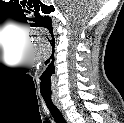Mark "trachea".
Masks as SVG:
<instances>
[{"mask_svg":"<svg viewBox=\"0 0 124 123\" xmlns=\"http://www.w3.org/2000/svg\"><path fill=\"white\" fill-rule=\"evenodd\" d=\"M44 102L49 109L54 121L56 123H66V120L64 119L62 113L60 110L55 106V104L52 101V98L43 96Z\"/></svg>","mask_w":124,"mask_h":123,"instance_id":"trachea-1","label":"trachea"}]
</instances>
